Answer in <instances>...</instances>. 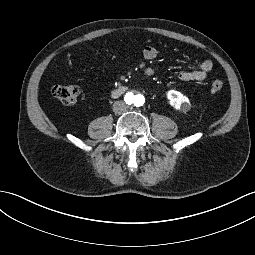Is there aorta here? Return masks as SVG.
Segmentation results:
<instances>
[{"label":"aorta","mask_w":255,"mask_h":255,"mask_svg":"<svg viewBox=\"0 0 255 255\" xmlns=\"http://www.w3.org/2000/svg\"><path fill=\"white\" fill-rule=\"evenodd\" d=\"M125 99L129 104L135 105V106H142L145 102V98L142 94H138L135 92H128L125 95Z\"/></svg>","instance_id":"aorta-1"}]
</instances>
